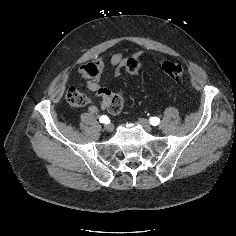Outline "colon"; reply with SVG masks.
I'll use <instances>...</instances> for the list:
<instances>
[{
    "label": "colon",
    "instance_id": "1",
    "mask_svg": "<svg viewBox=\"0 0 236 236\" xmlns=\"http://www.w3.org/2000/svg\"><path fill=\"white\" fill-rule=\"evenodd\" d=\"M142 62L139 59L132 58L127 63V72L130 74L138 73L142 69ZM162 71L173 81L182 83L184 80L183 66L177 62L165 61L162 64ZM66 99L70 106L74 108L84 107L88 103L85 94L75 87L69 88L66 93ZM124 104V98L120 94L113 95L108 104V111L111 114H118Z\"/></svg>",
    "mask_w": 236,
    "mask_h": 236
}]
</instances>
